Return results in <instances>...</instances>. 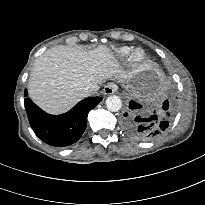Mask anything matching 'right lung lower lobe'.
<instances>
[{
    "label": "right lung lower lobe",
    "mask_w": 205,
    "mask_h": 205,
    "mask_svg": "<svg viewBox=\"0 0 205 205\" xmlns=\"http://www.w3.org/2000/svg\"><path fill=\"white\" fill-rule=\"evenodd\" d=\"M27 96V90H25ZM102 97H89L80 101L69 112L62 115H49L26 98L25 108L30 125L35 134L52 146H68L80 139L87 125V115Z\"/></svg>",
    "instance_id": "1"
}]
</instances>
